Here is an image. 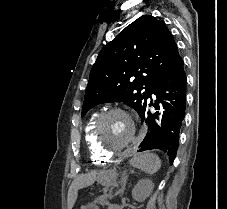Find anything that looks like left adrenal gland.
Returning a JSON list of instances; mask_svg holds the SVG:
<instances>
[{"label":"left adrenal gland","mask_w":227,"mask_h":209,"mask_svg":"<svg viewBox=\"0 0 227 209\" xmlns=\"http://www.w3.org/2000/svg\"><path fill=\"white\" fill-rule=\"evenodd\" d=\"M128 177H129V175H126V177H122L121 181H119V183L121 185V189H119V191H117V195H120V197H122V195H124Z\"/></svg>","instance_id":"left-adrenal-gland-1"}]
</instances>
